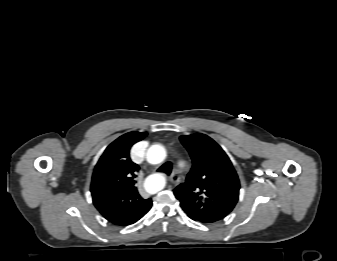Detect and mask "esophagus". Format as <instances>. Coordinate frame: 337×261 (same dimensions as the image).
<instances>
[{"instance_id": "esophagus-1", "label": "esophagus", "mask_w": 337, "mask_h": 261, "mask_svg": "<svg viewBox=\"0 0 337 261\" xmlns=\"http://www.w3.org/2000/svg\"><path fill=\"white\" fill-rule=\"evenodd\" d=\"M170 181L173 183V184H177L178 181H179V176L174 172L172 173V175L170 176Z\"/></svg>"}]
</instances>
